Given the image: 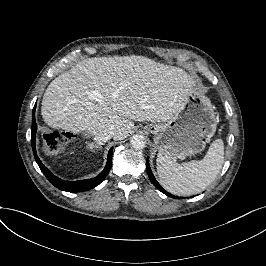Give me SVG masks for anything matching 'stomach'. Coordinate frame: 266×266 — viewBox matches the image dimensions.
<instances>
[{"label":"stomach","instance_id":"obj_1","mask_svg":"<svg viewBox=\"0 0 266 266\" xmlns=\"http://www.w3.org/2000/svg\"><path fill=\"white\" fill-rule=\"evenodd\" d=\"M217 123L210 99L192 92L171 119L148 124L144 129L154 135V143L163 156L184 159L204 150Z\"/></svg>","mask_w":266,"mask_h":266}]
</instances>
